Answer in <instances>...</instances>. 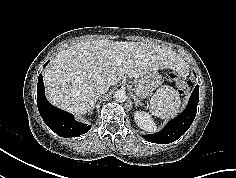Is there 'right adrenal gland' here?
<instances>
[{
    "mask_svg": "<svg viewBox=\"0 0 236 178\" xmlns=\"http://www.w3.org/2000/svg\"><path fill=\"white\" fill-rule=\"evenodd\" d=\"M97 100H98V97H95L94 104L97 102ZM94 107H95V105L93 106L92 109H94Z\"/></svg>",
    "mask_w": 236,
    "mask_h": 178,
    "instance_id": "2a0ac1e0",
    "label": "right adrenal gland"
}]
</instances>
